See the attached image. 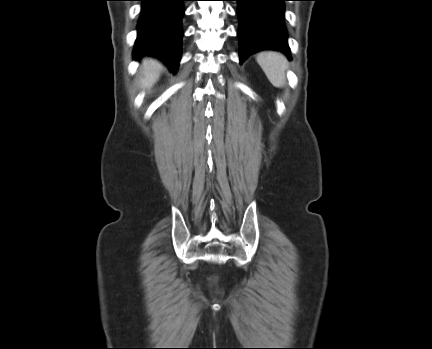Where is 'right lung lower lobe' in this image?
Instances as JSON below:
<instances>
[{
  "mask_svg": "<svg viewBox=\"0 0 432 349\" xmlns=\"http://www.w3.org/2000/svg\"><path fill=\"white\" fill-rule=\"evenodd\" d=\"M143 2L134 59L143 55L161 58L171 72H176L181 57L185 0H140Z\"/></svg>",
  "mask_w": 432,
  "mask_h": 349,
  "instance_id": "obj_1",
  "label": "right lung lower lobe"
}]
</instances>
